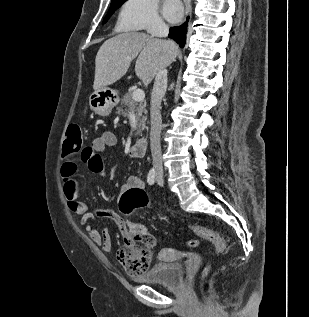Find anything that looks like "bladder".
Here are the masks:
<instances>
[{
    "label": "bladder",
    "instance_id": "obj_1",
    "mask_svg": "<svg viewBox=\"0 0 309 317\" xmlns=\"http://www.w3.org/2000/svg\"><path fill=\"white\" fill-rule=\"evenodd\" d=\"M183 279V265L180 261H160L136 277L139 283L158 284L166 288H178Z\"/></svg>",
    "mask_w": 309,
    "mask_h": 317
}]
</instances>
